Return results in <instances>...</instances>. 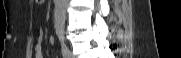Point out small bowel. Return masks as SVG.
<instances>
[{
	"instance_id": "c3829d8e",
	"label": "small bowel",
	"mask_w": 181,
	"mask_h": 58,
	"mask_svg": "<svg viewBox=\"0 0 181 58\" xmlns=\"http://www.w3.org/2000/svg\"><path fill=\"white\" fill-rule=\"evenodd\" d=\"M43 39H44V29L40 26L36 33V39L34 44V52L35 58H43L42 47H43ZM54 37L49 38V43L54 44Z\"/></svg>"
}]
</instances>
